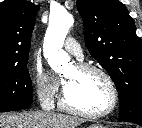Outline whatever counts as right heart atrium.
I'll use <instances>...</instances> for the list:
<instances>
[{"instance_id": "1", "label": "right heart atrium", "mask_w": 142, "mask_h": 128, "mask_svg": "<svg viewBox=\"0 0 142 128\" xmlns=\"http://www.w3.org/2000/svg\"><path fill=\"white\" fill-rule=\"evenodd\" d=\"M34 84L37 96L44 102H53L58 93L57 79L46 72L41 65L34 68Z\"/></svg>"}]
</instances>
